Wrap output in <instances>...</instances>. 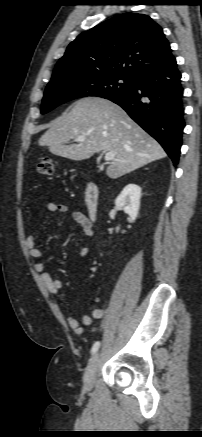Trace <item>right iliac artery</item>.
Returning a JSON list of instances; mask_svg holds the SVG:
<instances>
[{
	"mask_svg": "<svg viewBox=\"0 0 202 437\" xmlns=\"http://www.w3.org/2000/svg\"><path fill=\"white\" fill-rule=\"evenodd\" d=\"M99 347H100V342L99 341L95 342L94 345L92 346L91 354L94 355L98 351Z\"/></svg>",
	"mask_w": 202,
	"mask_h": 437,
	"instance_id": "1",
	"label": "right iliac artery"
}]
</instances>
